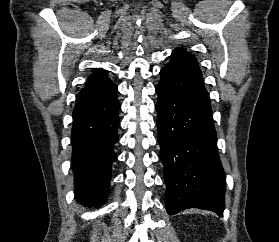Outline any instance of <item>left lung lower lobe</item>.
I'll use <instances>...</instances> for the list:
<instances>
[{"mask_svg":"<svg viewBox=\"0 0 279 242\" xmlns=\"http://www.w3.org/2000/svg\"><path fill=\"white\" fill-rule=\"evenodd\" d=\"M156 87L158 141L169 215L187 208L222 214L225 176L209 95L191 56L173 51Z\"/></svg>","mask_w":279,"mask_h":242,"instance_id":"1","label":"left lung lower lobe"}]
</instances>
